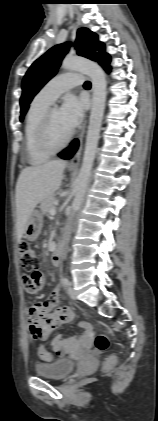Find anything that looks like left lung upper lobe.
Wrapping results in <instances>:
<instances>
[{"label":"left lung upper lobe","instance_id":"5c2ea615","mask_svg":"<svg viewBox=\"0 0 158 421\" xmlns=\"http://www.w3.org/2000/svg\"><path fill=\"white\" fill-rule=\"evenodd\" d=\"M75 47L78 55L91 60L102 61L108 54L105 53V46L98 41L94 32L87 28L78 30ZM69 45L66 43L56 45L49 49L44 55L37 59L29 68L22 82V96L20 98L21 117L26 113L29 104L38 91L56 74L58 67L67 51Z\"/></svg>","mask_w":158,"mask_h":421}]
</instances>
